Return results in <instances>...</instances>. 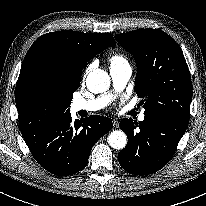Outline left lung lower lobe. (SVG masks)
Wrapping results in <instances>:
<instances>
[{
    "mask_svg": "<svg viewBox=\"0 0 206 206\" xmlns=\"http://www.w3.org/2000/svg\"><path fill=\"white\" fill-rule=\"evenodd\" d=\"M189 120L163 114L145 115L137 123L124 118L120 128L127 134V146L118 154L121 167L134 175L152 174L172 158Z\"/></svg>",
    "mask_w": 206,
    "mask_h": 206,
    "instance_id": "0a47b994",
    "label": "left lung lower lobe"
}]
</instances>
